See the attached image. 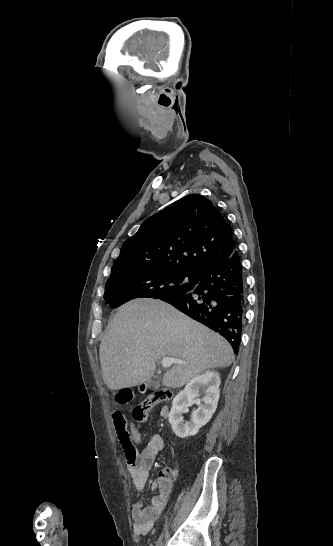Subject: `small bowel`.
Masks as SVG:
<instances>
[{
    "mask_svg": "<svg viewBox=\"0 0 333 546\" xmlns=\"http://www.w3.org/2000/svg\"><path fill=\"white\" fill-rule=\"evenodd\" d=\"M135 445L143 446L133 459L126 458L128 472L138 493L137 500L132 508L133 529L137 535L147 534L161 516L171 496V480L176 475V469L163 471L160 477L152 483L154 496L149 505L144 506L142 492L148 480L149 470L158 453L164 448V440L160 435L151 437L146 445L136 427L131 425L129 432Z\"/></svg>",
    "mask_w": 333,
    "mask_h": 546,
    "instance_id": "small-bowel-1",
    "label": "small bowel"
}]
</instances>
